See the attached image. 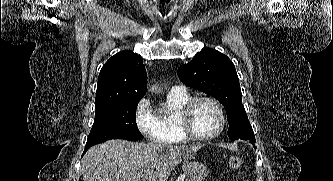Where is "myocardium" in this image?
Instances as JSON below:
<instances>
[{
  "label": "myocardium",
  "mask_w": 333,
  "mask_h": 181,
  "mask_svg": "<svg viewBox=\"0 0 333 181\" xmlns=\"http://www.w3.org/2000/svg\"><path fill=\"white\" fill-rule=\"evenodd\" d=\"M199 102H208L211 105H213L219 116V120H220L219 127H218L217 131L210 136H200L194 131V129L192 127L191 116H192L195 106ZM179 117H180V124H181L182 131L187 136V138L194 140V141H201V142L211 141V140L217 138L223 132L225 123H226L224 110H223L221 104L215 98H212L209 96H197V97L190 98L184 104L182 109L180 110Z\"/></svg>",
  "instance_id": "myocardium-1"
}]
</instances>
